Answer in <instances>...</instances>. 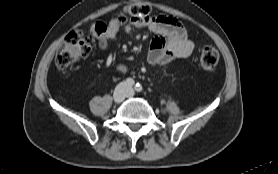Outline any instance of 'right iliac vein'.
<instances>
[{
	"label": "right iliac vein",
	"instance_id": "obj_1",
	"mask_svg": "<svg viewBox=\"0 0 278 174\" xmlns=\"http://www.w3.org/2000/svg\"><path fill=\"white\" fill-rule=\"evenodd\" d=\"M126 95H127V89H126L125 85H123V84L119 85L115 89L114 94H113L115 103L119 104V103L123 102Z\"/></svg>",
	"mask_w": 278,
	"mask_h": 174
}]
</instances>
